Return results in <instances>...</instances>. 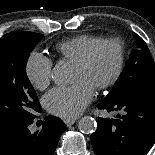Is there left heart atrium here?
Instances as JSON below:
<instances>
[{"label":"left heart atrium","mask_w":155,"mask_h":155,"mask_svg":"<svg viewBox=\"0 0 155 155\" xmlns=\"http://www.w3.org/2000/svg\"><path fill=\"white\" fill-rule=\"evenodd\" d=\"M93 88L83 81L70 86H59L52 89L44 97L47 110L64 119H74L90 104Z\"/></svg>","instance_id":"1"}]
</instances>
